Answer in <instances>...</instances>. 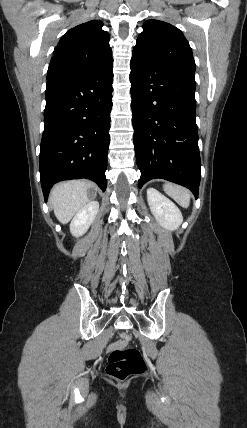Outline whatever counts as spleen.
<instances>
[{
    "instance_id": "1",
    "label": "spleen",
    "mask_w": 247,
    "mask_h": 428,
    "mask_svg": "<svg viewBox=\"0 0 247 428\" xmlns=\"http://www.w3.org/2000/svg\"><path fill=\"white\" fill-rule=\"evenodd\" d=\"M163 189L167 195L173 198L180 206L187 208L190 205V191L173 183H166Z\"/></svg>"
}]
</instances>
